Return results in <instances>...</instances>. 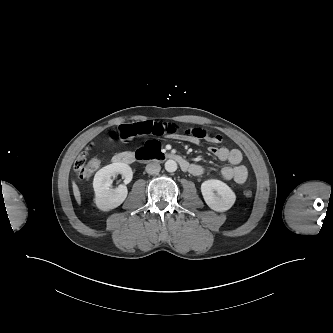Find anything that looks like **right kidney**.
Here are the masks:
<instances>
[{
    "label": "right kidney",
    "mask_w": 333,
    "mask_h": 333,
    "mask_svg": "<svg viewBox=\"0 0 333 333\" xmlns=\"http://www.w3.org/2000/svg\"><path fill=\"white\" fill-rule=\"evenodd\" d=\"M122 174L127 184L131 181L133 172L125 163H113L100 169L94 176L93 188L95 191L94 201L102 211H109L120 206L127 197L128 190L125 185L111 189V177Z\"/></svg>",
    "instance_id": "1"
}]
</instances>
